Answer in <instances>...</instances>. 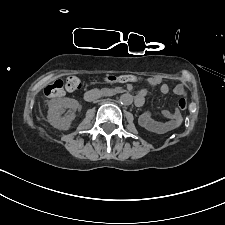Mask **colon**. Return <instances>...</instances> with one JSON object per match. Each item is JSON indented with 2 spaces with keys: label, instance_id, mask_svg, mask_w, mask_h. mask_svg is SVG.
<instances>
[{
  "label": "colon",
  "instance_id": "1",
  "mask_svg": "<svg viewBox=\"0 0 225 225\" xmlns=\"http://www.w3.org/2000/svg\"><path fill=\"white\" fill-rule=\"evenodd\" d=\"M140 78L131 75V74H126V75H109L104 78L105 82L108 83H125V82H137L139 81ZM81 88V81L77 77H69L66 79L64 82L63 80H56L52 84L48 85L44 93L49 96V97H57L60 96L64 93V90L66 89L67 91L73 92ZM188 106L187 100L185 98H180L177 102V107L179 110H185Z\"/></svg>",
  "mask_w": 225,
  "mask_h": 225
}]
</instances>
